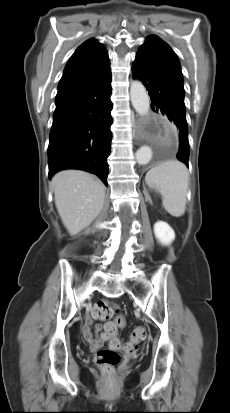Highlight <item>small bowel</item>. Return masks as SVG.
<instances>
[{
    "label": "small bowel",
    "mask_w": 230,
    "mask_h": 413,
    "mask_svg": "<svg viewBox=\"0 0 230 413\" xmlns=\"http://www.w3.org/2000/svg\"><path fill=\"white\" fill-rule=\"evenodd\" d=\"M92 323V318L89 317L86 319L85 324L83 326V335L93 346H98L102 342L109 341L110 331L113 330L115 334H117L118 329L124 326L125 320L122 316H118L113 321L106 322L103 325H96L95 329L99 333L98 338L95 337L93 334Z\"/></svg>",
    "instance_id": "small-bowel-1"
}]
</instances>
